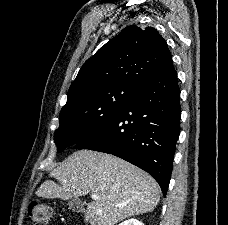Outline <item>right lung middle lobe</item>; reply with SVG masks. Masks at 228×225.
Returning a JSON list of instances; mask_svg holds the SVG:
<instances>
[{
  "label": "right lung middle lobe",
  "instance_id": "right-lung-middle-lobe-1",
  "mask_svg": "<svg viewBox=\"0 0 228 225\" xmlns=\"http://www.w3.org/2000/svg\"><path fill=\"white\" fill-rule=\"evenodd\" d=\"M137 88L115 83L90 90L67 103L54 133L58 152L82 140L111 118Z\"/></svg>",
  "mask_w": 228,
  "mask_h": 225
}]
</instances>
